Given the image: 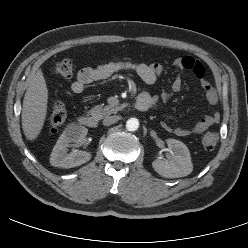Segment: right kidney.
Listing matches in <instances>:
<instances>
[{
	"mask_svg": "<svg viewBox=\"0 0 248 248\" xmlns=\"http://www.w3.org/2000/svg\"><path fill=\"white\" fill-rule=\"evenodd\" d=\"M88 129L83 126H68L60 135L53 148L50 164L54 167L72 168L80 166L91 159V154L86 151L73 150L67 154L70 143L84 144Z\"/></svg>",
	"mask_w": 248,
	"mask_h": 248,
	"instance_id": "right-kidney-1",
	"label": "right kidney"
}]
</instances>
